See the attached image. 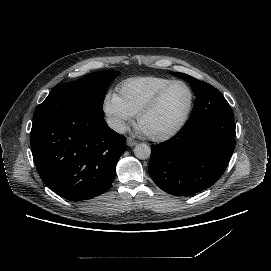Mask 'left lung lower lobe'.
<instances>
[{"mask_svg":"<svg viewBox=\"0 0 271 271\" xmlns=\"http://www.w3.org/2000/svg\"><path fill=\"white\" fill-rule=\"evenodd\" d=\"M234 147V117H198L170 140L151 146L148 171L163 191L193 195L222 176Z\"/></svg>","mask_w":271,"mask_h":271,"instance_id":"obj_1","label":"left lung lower lobe"}]
</instances>
